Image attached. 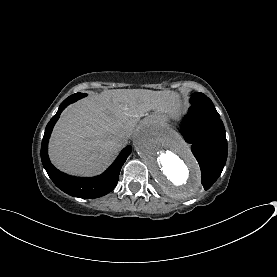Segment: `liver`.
<instances>
[{"instance_id":"obj_1","label":"liver","mask_w":277,"mask_h":277,"mask_svg":"<svg viewBox=\"0 0 277 277\" xmlns=\"http://www.w3.org/2000/svg\"><path fill=\"white\" fill-rule=\"evenodd\" d=\"M169 91L107 90L70 106L55 127L50 154L60 169L92 174L105 167L125 143L118 131H131L153 110L174 116Z\"/></svg>"}]
</instances>
